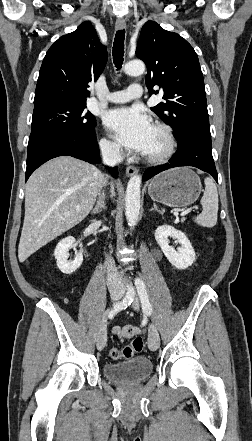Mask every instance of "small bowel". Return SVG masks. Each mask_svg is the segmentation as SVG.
<instances>
[{
	"label": "small bowel",
	"mask_w": 252,
	"mask_h": 441,
	"mask_svg": "<svg viewBox=\"0 0 252 441\" xmlns=\"http://www.w3.org/2000/svg\"><path fill=\"white\" fill-rule=\"evenodd\" d=\"M112 334L118 337L121 341L125 339H129L138 335L140 333V329L138 327L132 325H126L123 327L114 326L111 330Z\"/></svg>",
	"instance_id": "c3829d8e"
}]
</instances>
